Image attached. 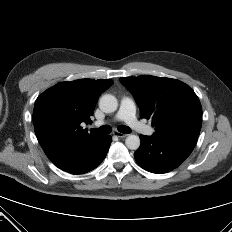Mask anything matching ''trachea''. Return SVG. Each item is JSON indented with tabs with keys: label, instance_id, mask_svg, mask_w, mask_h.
I'll list each match as a JSON object with an SVG mask.
<instances>
[{
	"label": "trachea",
	"instance_id": "3493384b",
	"mask_svg": "<svg viewBox=\"0 0 232 232\" xmlns=\"http://www.w3.org/2000/svg\"><path fill=\"white\" fill-rule=\"evenodd\" d=\"M91 131L94 134L104 135V134H109L111 132V127L108 125H105V126L99 127L98 129H91ZM118 131L124 134H129L131 132L130 128L125 125L119 126Z\"/></svg>",
	"mask_w": 232,
	"mask_h": 232
}]
</instances>
